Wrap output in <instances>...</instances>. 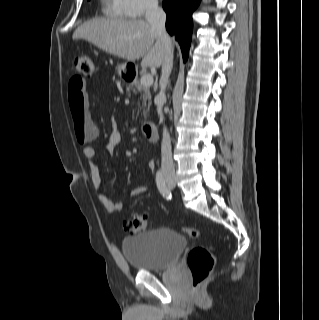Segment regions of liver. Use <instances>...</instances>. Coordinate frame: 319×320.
<instances>
[{"mask_svg": "<svg viewBox=\"0 0 319 320\" xmlns=\"http://www.w3.org/2000/svg\"><path fill=\"white\" fill-rule=\"evenodd\" d=\"M72 38L86 40L127 61L142 58L144 67H160L166 53L157 32L147 21L139 19H93L80 25Z\"/></svg>", "mask_w": 319, "mask_h": 320, "instance_id": "liver-1", "label": "liver"}]
</instances>
